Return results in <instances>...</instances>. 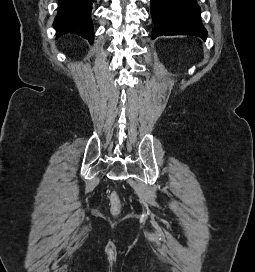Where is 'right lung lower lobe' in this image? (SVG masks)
<instances>
[{
	"mask_svg": "<svg viewBox=\"0 0 255 272\" xmlns=\"http://www.w3.org/2000/svg\"><path fill=\"white\" fill-rule=\"evenodd\" d=\"M92 0H59L54 27L58 36L72 33L93 41Z\"/></svg>",
	"mask_w": 255,
	"mask_h": 272,
	"instance_id": "1",
	"label": "right lung lower lobe"
}]
</instances>
